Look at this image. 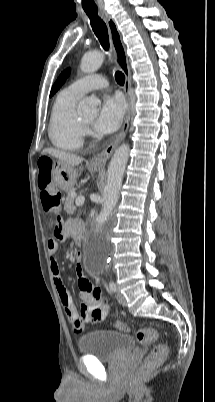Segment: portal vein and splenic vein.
<instances>
[{"mask_svg": "<svg viewBox=\"0 0 215 402\" xmlns=\"http://www.w3.org/2000/svg\"><path fill=\"white\" fill-rule=\"evenodd\" d=\"M84 201H85V198L83 196H79L76 199L75 203H76L77 206H81V205H83Z\"/></svg>", "mask_w": 215, "mask_h": 402, "instance_id": "1", "label": "portal vein and splenic vein"}]
</instances>
